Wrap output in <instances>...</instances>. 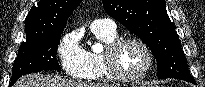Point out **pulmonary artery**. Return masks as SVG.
I'll use <instances>...</instances> for the list:
<instances>
[{
    "instance_id": "pulmonary-artery-1",
    "label": "pulmonary artery",
    "mask_w": 205,
    "mask_h": 87,
    "mask_svg": "<svg viewBox=\"0 0 205 87\" xmlns=\"http://www.w3.org/2000/svg\"><path fill=\"white\" fill-rule=\"evenodd\" d=\"M92 30L116 31V24L110 19H97L91 23Z\"/></svg>"
}]
</instances>
